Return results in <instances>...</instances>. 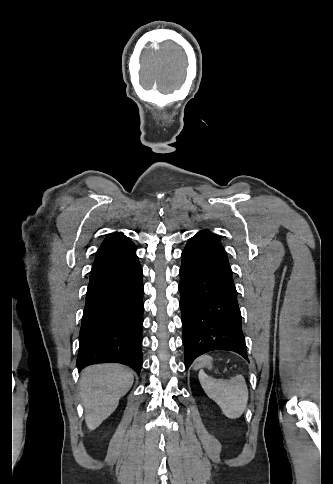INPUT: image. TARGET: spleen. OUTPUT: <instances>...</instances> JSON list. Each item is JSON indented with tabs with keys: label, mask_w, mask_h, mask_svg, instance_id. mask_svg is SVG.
I'll list each match as a JSON object with an SVG mask.
<instances>
[{
	"label": "spleen",
	"mask_w": 333,
	"mask_h": 484,
	"mask_svg": "<svg viewBox=\"0 0 333 484\" xmlns=\"http://www.w3.org/2000/svg\"><path fill=\"white\" fill-rule=\"evenodd\" d=\"M199 381L207 396L219 406L226 417H241L248 402V388L242 375H236L229 380L213 379L201 370Z\"/></svg>",
	"instance_id": "1"
}]
</instances>
